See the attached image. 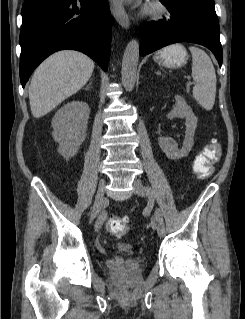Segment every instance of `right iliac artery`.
<instances>
[{
    "label": "right iliac artery",
    "instance_id": "right-iliac-artery-1",
    "mask_svg": "<svg viewBox=\"0 0 245 319\" xmlns=\"http://www.w3.org/2000/svg\"><path fill=\"white\" fill-rule=\"evenodd\" d=\"M103 215H104V214L101 215V219H98V220L96 221V223L99 225V228H101L102 223H103Z\"/></svg>",
    "mask_w": 245,
    "mask_h": 319
}]
</instances>
